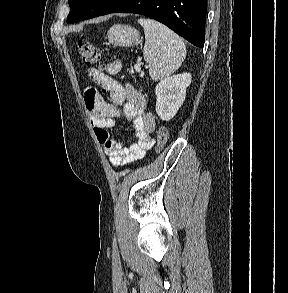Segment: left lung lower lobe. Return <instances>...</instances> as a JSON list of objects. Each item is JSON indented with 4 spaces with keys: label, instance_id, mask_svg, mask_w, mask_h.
<instances>
[{
    "label": "left lung lower lobe",
    "instance_id": "0a47b994",
    "mask_svg": "<svg viewBox=\"0 0 288 293\" xmlns=\"http://www.w3.org/2000/svg\"><path fill=\"white\" fill-rule=\"evenodd\" d=\"M207 0H116L101 15L136 13L155 19L203 48Z\"/></svg>",
    "mask_w": 288,
    "mask_h": 293
}]
</instances>
